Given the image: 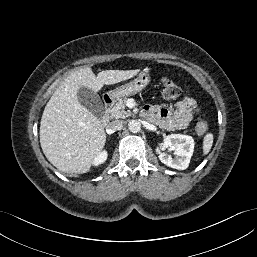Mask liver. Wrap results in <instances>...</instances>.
<instances>
[{"mask_svg":"<svg viewBox=\"0 0 257 257\" xmlns=\"http://www.w3.org/2000/svg\"><path fill=\"white\" fill-rule=\"evenodd\" d=\"M136 70H105L96 76L90 67L71 73L55 90L45 106L40 122L43 153L59 171L83 174L106 142L104 125L78 101L81 87L94 92L134 77Z\"/></svg>","mask_w":257,"mask_h":257,"instance_id":"liver-1","label":"liver"}]
</instances>
